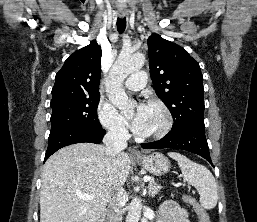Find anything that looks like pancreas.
Here are the masks:
<instances>
[{"label": "pancreas", "mask_w": 257, "mask_h": 222, "mask_svg": "<svg viewBox=\"0 0 257 222\" xmlns=\"http://www.w3.org/2000/svg\"><path fill=\"white\" fill-rule=\"evenodd\" d=\"M161 189V186L155 183L154 179H151V181L148 184V193L151 197H154L156 194L159 193Z\"/></svg>", "instance_id": "obj_1"}]
</instances>
